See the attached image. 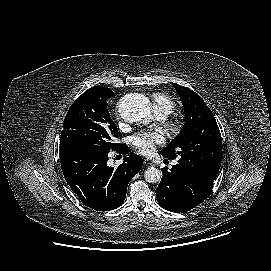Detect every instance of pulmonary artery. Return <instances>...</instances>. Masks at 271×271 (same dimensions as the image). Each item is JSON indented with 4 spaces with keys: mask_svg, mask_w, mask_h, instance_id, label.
<instances>
[{
    "mask_svg": "<svg viewBox=\"0 0 271 271\" xmlns=\"http://www.w3.org/2000/svg\"><path fill=\"white\" fill-rule=\"evenodd\" d=\"M157 115H158L159 118L163 119V118H165L168 114H167L166 112H164V111H158V110H157ZM176 163H177V162H173V165H176Z\"/></svg>",
    "mask_w": 271,
    "mask_h": 271,
    "instance_id": "obj_1",
    "label": "pulmonary artery"
}]
</instances>
